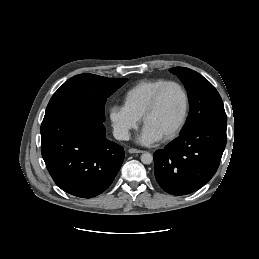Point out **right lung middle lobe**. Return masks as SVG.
<instances>
[{
  "instance_id": "dd1d6c3e",
  "label": "right lung middle lobe",
  "mask_w": 259,
  "mask_h": 259,
  "mask_svg": "<svg viewBox=\"0 0 259 259\" xmlns=\"http://www.w3.org/2000/svg\"><path fill=\"white\" fill-rule=\"evenodd\" d=\"M128 79L106 78L84 73L67 80L52 96L43 121L68 112H79L105 120L107 98Z\"/></svg>"
}]
</instances>
